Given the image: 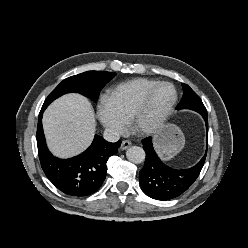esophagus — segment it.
<instances>
[{
    "label": "esophagus",
    "instance_id": "1",
    "mask_svg": "<svg viewBox=\"0 0 248 248\" xmlns=\"http://www.w3.org/2000/svg\"><path fill=\"white\" fill-rule=\"evenodd\" d=\"M131 146V142L128 141V140H123L122 143H121V150H125L127 149L128 147Z\"/></svg>",
    "mask_w": 248,
    "mask_h": 248
}]
</instances>
